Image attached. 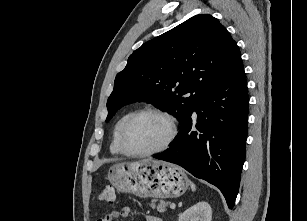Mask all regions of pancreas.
<instances>
[{
    "label": "pancreas",
    "instance_id": "1",
    "mask_svg": "<svg viewBox=\"0 0 307 221\" xmlns=\"http://www.w3.org/2000/svg\"><path fill=\"white\" fill-rule=\"evenodd\" d=\"M168 202L160 200L158 205L155 202H152L151 207L152 209H156L158 212H165L167 210Z\"/></svg>",
    "mask_w": 307,
    "mask_h": 221
}]
</instances>
